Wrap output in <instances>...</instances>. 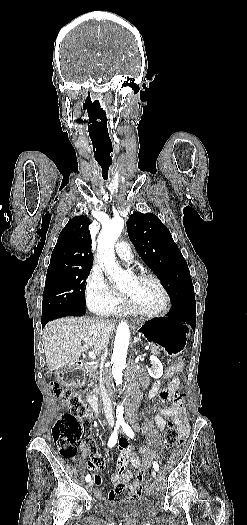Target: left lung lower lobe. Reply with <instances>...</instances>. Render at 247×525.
I'll use <instances>...</instances> for the list:
<instances>
[{
    "instance_id": "left-lung-lower-lobe-1",
    "label": "left lung lower lobe",
    "mask_w": 247,
    "mask_h": 525,
    "mask_svg": "<svg viewBox=\"0 0 247 525\" xmlns=\"http://www.w3.org/2000/svg\"><path fill=\"white\" fill-rule=\"evenodd\" d=\"M173 321H184L194 329L196 325V305L195 301H185L173 304L168 318Z\"/></svg>"
}]
</instances>
